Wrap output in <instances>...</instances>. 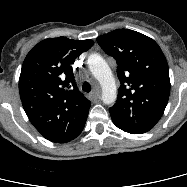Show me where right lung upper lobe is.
Wrapping results in <instances>:
<instances>
[{
	"mask_svg": "<svg viewBox=\"0 0 187 187\" xmlns=\"http://www.w3.org/2000/svg\"><path fill=\"white\" fill-rule=\"evenodd\" d=\"M92 40L48 38L27 54L19 92L34 127L47 140L66 143L83 130L90 101L78 90L71 64L93 46Z\"/></svg>",
	"mask_w": 187,
	"mask_h": 187,
	"instance_id": "obj_1",
	"label": "right lung upper lobe"
}]
</instances>
